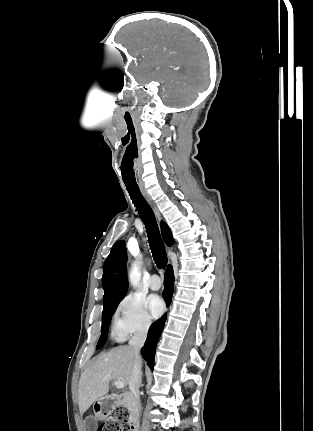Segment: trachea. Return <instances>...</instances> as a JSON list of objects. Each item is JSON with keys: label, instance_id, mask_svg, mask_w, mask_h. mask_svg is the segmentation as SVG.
<instances>
[{"label": "trachea", "instance_id": "3493384b", "mask_svg": "<svg viewBox=\"0 0 313 431\" xmlns=\"http://www.w3.org/2000/svg\"><path fill=\"white\" fill-rule=\"evenodd\" d=\"M126 189L140 217L142 218V221L144 222L150 250L152 252L155 264L158 268H165L167 265V255L155 215L138 187L126 185Z\"/></svg>", "mask_w": 313, "mask_h": 431}]
</instances>
